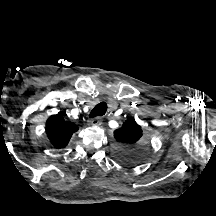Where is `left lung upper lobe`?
I'll return each mask as SVG.
<instances>
[{
    "label": "left lung upper lobe",
    "instance_id": "left-lung-upper-lobe-1",
    "mask_svg": "<svg viewBox=\"0 0 216 216\" xmlns=\"http://www.w3.org/2000/svg\"><path fill=\"white\" fill-rule=\"evenodd\" d=\"M117 141L114 149L115 158L122 164L133 166L137 164L145 153L148 140L143 137V131L134 118H128L114 131Z\"/></svg>",
    "mask_w": 216,
    "mask_h": 216
}]
</instances>
